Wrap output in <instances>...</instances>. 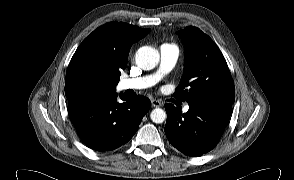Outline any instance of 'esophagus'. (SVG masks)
Instances as JSON below:
<instances>
[{"instance_id": "34e87169", "label": "esophagus", "mask_w": 294, "mask_h": 180, "mask_svg": "<svg viewBox=\"0 0 294 180\" xmlns=\"http://www.w3.org/2000/svg\"><path fill=\"white\" fill-rule=\"evenodd\" d=\"M152 107H160L162 103L159 100L153 99L151 100Z\"/></svg>"}]
</instances>
